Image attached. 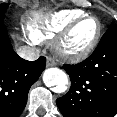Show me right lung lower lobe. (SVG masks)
<instances>
[{
  "mask_svg": "<svg viewBox=\"0 0 117 117\" xmlns=\"http://www.w3.org/2000/svg\"><path fill=\"white\" fill-rule=\"evenodd\" d=\"M0 15V117H19L30 87L45 69V57L27 61L13 50Z\"/></svg>",
  "mask_w": 117,
  "mask_h": 117,
  "instance_id": "98d812e1",
  "label": "right lung lower lobe"
}]
</instances>
